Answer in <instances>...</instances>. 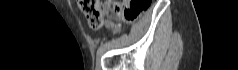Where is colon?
<instances>
[{
	"instance_id": "5ec220e1",
	"label": "colon",
	"mask_w": 238,
	"mask_h": 70,
	"mask_svg": "<svg viewBox=\"0 0 238 70\" xmlns=\"http://www.w3.org/2000/svg\"><path fill=\"white\" fill-rule=\"evenodd\" d=\"M77 5L89 26L98 29L103 26L108 13H113L127 22L136 20L146 10L148 0H77Z\"/></svg>"
}]
</instances>
